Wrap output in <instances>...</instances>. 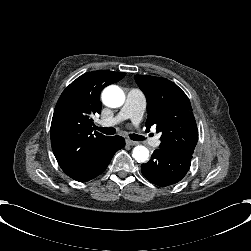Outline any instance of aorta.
Wrapping results in <instances>:
<instances>
[{
	"label": "aorta",
	"mask_w": 251,
	"mask_h": 251,
	"mask_svg": "<svg viewBox=\"0 0 251 251\" xmlns=\"http://www.w3.org/2000/svg\"><path fill=\"white\" fill-rule=\"evenodd\" d=\"M124 92L116 85L106 87L102 92V101L105 105L116 108L123 106L125 102ZM132 157L139 163L145 162L149 157V151L142 145L133 148Z\"/></svg>",
	"instance_id": "762f6f07"
}]
</instances>
